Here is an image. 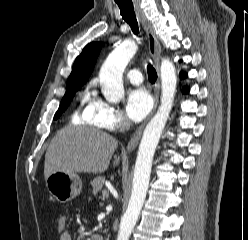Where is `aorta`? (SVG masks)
<instances>
[{
	"label": "aorta",
	"instance_id": "762f6f07",
	"mask_svg": "<svg viewBox=\"0 0 248 240\" xmlns=\"http://www.w3.org/2000/svg\"><path fill=\"white\" fill-rule=\"evenodd\" d=\"M137 49L138 46L134 41H126L116 47L103 63L99 78L102 93L107 101L118 103L124 98L122 75ZM176 85L175 67L168 59H163L161 62V104L157 113L147 124L139 145L131 198L121 218L117 240H129L143 207L149 187L153 156L172 109Z\"/></svg>",
	"mask_w": 248,
	"mask_h": 240
}]
</instances>
